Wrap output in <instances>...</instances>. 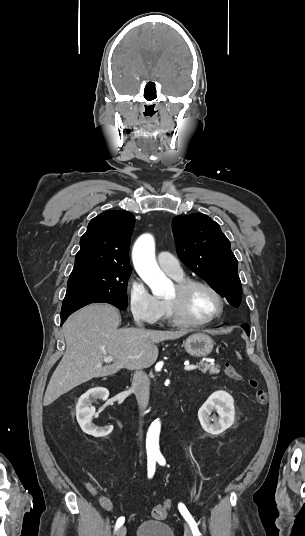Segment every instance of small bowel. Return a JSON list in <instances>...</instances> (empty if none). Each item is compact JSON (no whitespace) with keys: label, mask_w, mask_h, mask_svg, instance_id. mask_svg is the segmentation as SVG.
Listing matches in <instances>:
<instances>
[{"label":"small bowel","mask_w":305,"mask_h":536,"mask_svg":"<svg viewBox=\"0 0 305 536\" xmlns=\"http://www.w3.org/2000/svg\"><path fill=\"white\" fill-rule=\"evenodd\" d=\"M84 486L86 489L94 496L97 497L100 505L107 511H111L113 508L112 502L108 497L99 495L97 492V489L94 487V485L89 481H84Z\"/></svg>","instance_id":"obj_1"}]
</instances>
